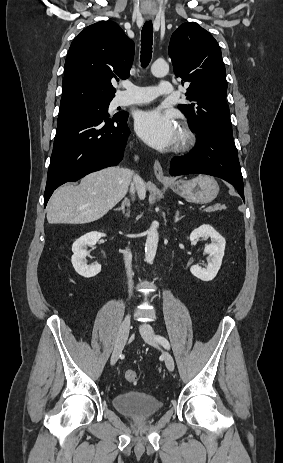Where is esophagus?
Here are the masks:
<instances>
[{
  "mask_svg": "<svg viewBox=\"0 0 283 463\" xmlns=\"http://www.w3.org/2000/svg\"><path fill=\"white\" fill-rule=\"evenodd\" d=\"M154 173L156 178L161 182H170L171 179L164 174V171L158 161L154 162Z\"/></svg>",
  "mask_w": 283,
  "mask_h": 463,
  "instance_id": "esophagus-1",
  "label": "esophagus"
}]
</instances>
